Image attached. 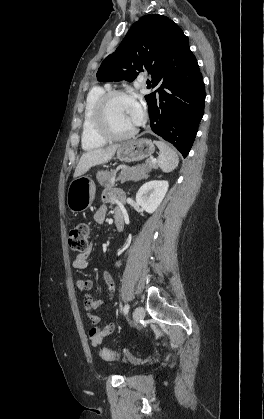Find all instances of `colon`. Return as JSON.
<instances>
[{"instance_id": "5ec220e1", "label": "colon", "mask_w": 264, "mask_h": 419, "mask_svg": "<svg viewBox=\"0 0 264 419\" xmlns=\"http://www.w3.org/2000/svg\"><path fill=\"white\" fill-rule=\"evenodd\" d=\"M89 243V227L84 224H78L73 227L68 236L69 247L76 252H85ZM99 355L106 361H113L119 357V353L110 351L108 349H101Z\"/></svg>"}]
</instances>
